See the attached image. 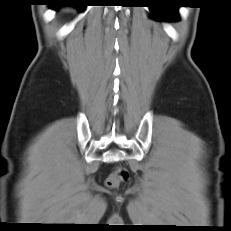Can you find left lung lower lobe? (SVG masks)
I'll use <instances>...</instances> for the list:
<instances>
[{"instance_id":"0a47b994","label":"left lung lower lobe","mask_w":231,"mask_h":231,"mask_svg":"<svg viewBox=\"0 0 231 231\" xmlns=\"http://www.w3.org/2000/svg\"><path fill=\"white\" fill-rule=\"evenodd\" d=\"M173 0H150L152 18L159 21H178V6L174 5Z\"/></svg>"}]
</instances>
